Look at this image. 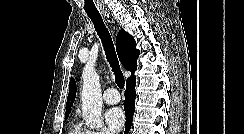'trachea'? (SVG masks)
I'll return each mask as SVG.
<instances>
[{"label":"trachea","mask_w":244,"mask_h":134,"mask_svg":"<svg viewBox=\"0 0 244 134\" xmlns=\"http://www.w3.org/2000/svg\"><path fill=\"white\" fill-rule=\"evenodd\" d=\"M88 17L91 19V21L94 24V28L97 31V34L99 35L106 58L112 68V71L114 72L115 75V82L119 88H124L125 80L124 76L121 72L120 65L118 62V58L115 52L114 44L111 39L110 33L108 29L106 28L103 19L99 13H88Z\"/></svg>","instance_id":"obj_1"}]
</instances>
